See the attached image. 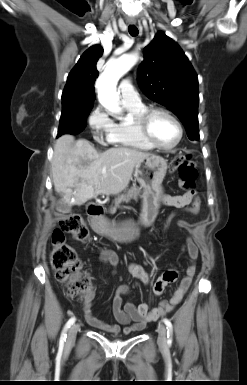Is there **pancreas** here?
<instances>
[{"instance_id": "cf45deb5", "label": "pancreas", "mask_w": 247, "mask_h": 385, "mask_svg": "<svg viewBox=\"0 0 247 385\" xmlns=\"http://www.w3.org/2000/svg\"><path fill=\"white\" fill-rule=\"evenodd\" d=\"M139 195L140 191L138 189L134 187L128 189L127 191H125L124 194H121L117 198H115L114 206L110 209V213L114 214L121 202L128 203L131 199L137 200Z\"/></svg>"}]
</instances>
